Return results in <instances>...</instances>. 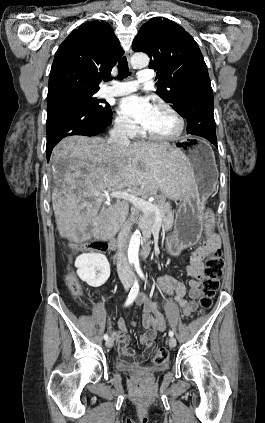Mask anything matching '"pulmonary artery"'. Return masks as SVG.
I'll return each instance as SVG.
<instances>
[{"label": "pulmonary artery", "instance_id": "obj_1", "mask_svg": "<svg viewBox=\"0 0 265 423\" xmlns=\"http://www.w3.org/2000/svg\"><path fill=\"white\" fill-rule=\"evenodd\" d=\"M154 74L146 69H142L138 73L137 81H119L113 82L110 86L102 89V96H122L136 91L139 83H151Z\"/></svg>", "mask_w": 265, "mask_h": 423}]
</instances>
